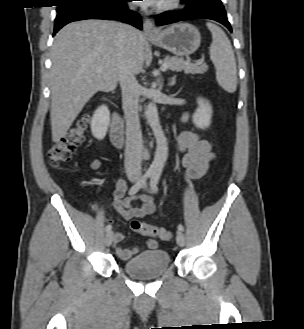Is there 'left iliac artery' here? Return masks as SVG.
<instances>
[{"label": "left iliac artery", "mask_w": 304, "mask_h": 329, "mask_svg": "<svg viewBox=\"0 0 304 329\" xmlns=\"http://www.w3.org/2000/svg\"><path fill=\"white\" fill-rule=\"evenodd\" d=\"M160 175H161L160 172H154L151 176L150 186H151V189L154 193L158 192V183H159ZM178 230L179 231H184L183 225L179 224L178 225Z\"/></svg>", "instance_id": "44dca946"}]
</instances>
